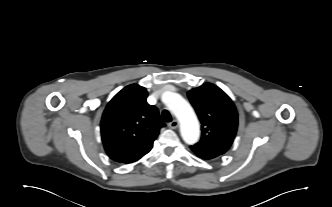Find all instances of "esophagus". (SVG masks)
<instances>
[{
  "instance_id": "1",
  "label": "esophagus",
  "mask_w": 332,
  "mask_h": 207,
  "mask_svg": "<svg viewBox=\"0 0 332 207\" xmlns=\"http://www.w3.org/2000/svg\"><path fill=\"white\" fill-rule=\"evenodd\" d=\"M178 125H179V123L177 120H173L172 122H170L168 124L169 128H171V129H176L178 127Z\"/></svg>"
}]
</instances>
